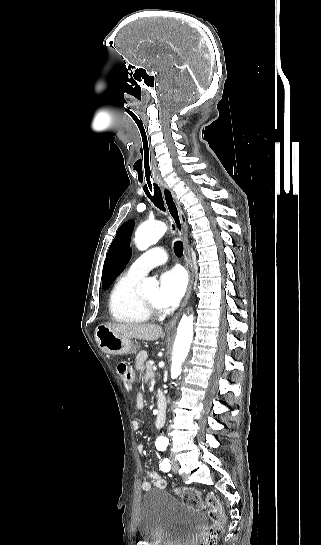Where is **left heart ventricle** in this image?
<instances>
[{
    "instance_id": "left-heart-ventricle-1",
    "label": "left heart ventricle",
    "mask_w": 321,
    "mask_h": 545,
    "mask_svg": "<svg viewBox=\"0 0 321 545\" xmlns=\"http://www.w3.org/2000/svg\"><path fill=\"white\" fill-rule=\"evenodd\" d=\"M140 298L150 306H156L157 297L154 294L142 295L139 294Z\"/></svg>"
}]
</instances>
